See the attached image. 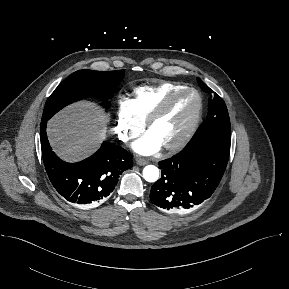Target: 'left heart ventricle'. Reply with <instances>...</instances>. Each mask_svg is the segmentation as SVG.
<instances>
[{"instance_id":"obj_1","label":"left heart ventricle","mask_w":289,"mask_h":289,"mask_svg":"<svg viewBox=\"0 0 289 289\" xmlns=\"http://www.w3.org/2000/svg\"><path fill=\"white\" fill-rule=\"evenodd\" d=\"M197 108V98L185 93L174 100L166 113L158 119L149 132L162 146L178 140L189 126Z\"/></svg>"}]
</instances>
